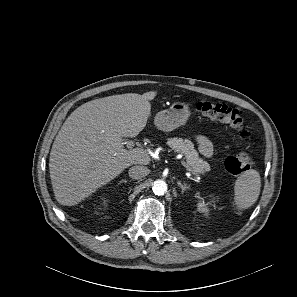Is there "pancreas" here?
Wrapping results in <instances>:
<instances>
[{"mask_svg":"<svg viewBox=\"0 0 297 297\" xmlns=\"http://www.w3.org/2000/svg\"><path fill=\"white\" fill-rule=\"evenodd\" d=\"M167 145L175 152L182 153L185 156L187 164L196 173H205L210 170L208 162L199 157L194 144L188 139L169 138Z\"/></svg>","mask_w":297,"mask_h":297,"instance_id":"1","label":"pancreas"}]
</instances>
